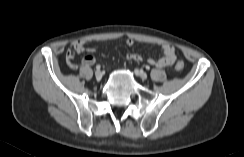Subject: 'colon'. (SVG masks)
<instances>
[{"instance_id": "5ec220e1", "label": "colon", "mask_w": 244, "mask_h": 157, "mask_svg": "<svg viewBox=\"0 0 244 157\" xmlns=\"http://www.w3.org/2000/svg\"><path fill=\"white\" fill-rule=\"evenodd\" d=\"M184 68V63L182 61H178L176 64H175V69L176 70H182Z\"/></svg>"}]
</instances>
